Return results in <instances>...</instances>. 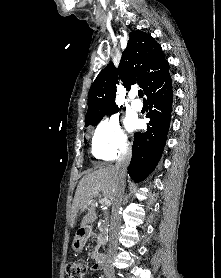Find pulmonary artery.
Returning <instances> with one entry per match:
<instances>
[{"instance_id": "obj_1", "label": "pulmonary artery", "mask_w": 221, "mask_h": 278, "mask_svg": "<svg viewBox=\"0 0 221 278\" xmlns=\"http://www.w3.org/2000/svg\"><path fill=\"white\" fill-rule=\"evenodd\" d=\"M136 96H137V93H136V92H133V93L131 94V102H130V104H131V107H132L134 110L140 111V110L143 108V104H142V102H141L140 100H138V99L136 98Z\"/></svg>"}]
</instances>
